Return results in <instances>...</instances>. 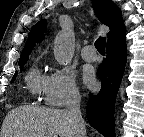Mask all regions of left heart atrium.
<instances>
[{
	"label": "left heart atrium",
	"instance_id": "39dd6f15",
	"mask_svg": "<svg viewBox=\"0 0 144 137\" xmlns=\"http://www.w3.org/2000/svg\"><path fill=\"white\" fill-rule=\"evenodd\" d=\"M83 77H84V81L86 82L87 85H89V86L94 85V83H95L94 73L90 68L86 67L84 69Z\"/></svg>",
	"mask_w": 144,
	"mask_h": 137
}]
</instances>
